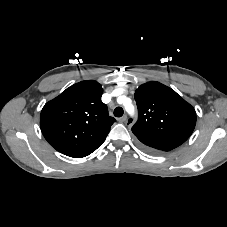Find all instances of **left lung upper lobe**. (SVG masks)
<instances>
[{
    "mask_svg": "<svg viewBox=\"0 0 227 227\" xmlns=\"http://www.w3.org/2000/svg\"><path fill=\"white\" fill-rule=\"evenodd\" d=\"M134 97L138 121L132 132L144 147L166 152L190 137L196 124V112L173 89L151 81L142 84ZM131 122L132 119H129Z\"/></svg>",
    "mask_w": 227,
    "mask_h": 227,
    "instance_id": "1",
    "label": "left lung upper lobe"
}]
</instances>
